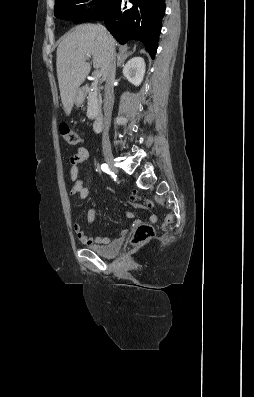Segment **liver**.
I'll use <instances>...</instances> for the list:
<instances>
[{
    "mask_svg": "<svg viewBox=\"0 0 254 397\" xmlns=\"http://www.w3.org/2000/svg\"><path fill=\"white\" fill-rule=\"evenodd\" d=\"M115 39L100 25H79L68 34L57 48V77L61 101L67 116L70 115L75 95L85 81L91 66L87 62L93 57V67L100 69L106 79L110 53L114 52Z\"/></svg>",
    "mask_w": 254,
    "mask_h": 397,
    "instance_id": "6515ba94",
    "label": "liver"
}]
</instances>
